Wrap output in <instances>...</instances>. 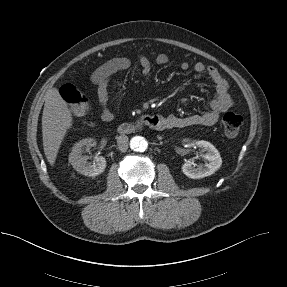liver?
<instances>
[{
	"instance_id": "liver-1",
	"label": "liver",
	"mask_w": 287,
	"mask_h": 287,
	"mask_svg": "<svg viewBox=\"0 0 287 287\" xmlns=\"http://www.w3.org/2000/svg\"><path fill=\"white\" fill-rule=\"evenodd\" d=\"M42 115L44 153L50 165H54L60 145L72 126V114L57 88L49 89L45 96Z\"/></svg>"
}]
</instances>
